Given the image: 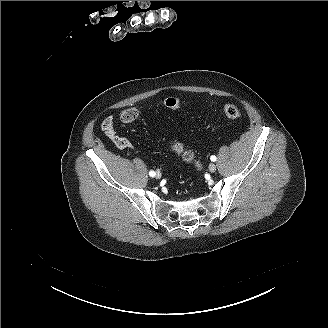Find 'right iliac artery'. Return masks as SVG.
Returning a JSON list of instances; mask_svg holds the SVG:
<instances>
[{"label":"right iliac artery","instance_id":"right-iliac-artery-1","mask_svg":"<svg viewBox=\"0 0 328 328\" xmlns=\"http://www.w3.org/2000/svg\"><path fill=\"white\" fill-rule=\"evenodd\" d=\"M149 175H150L151 177H154V176L156 175V173H155L154 171H150V172H149Z\"/></svg>","mask_w":328,"mask_h":328}]
</instances>
